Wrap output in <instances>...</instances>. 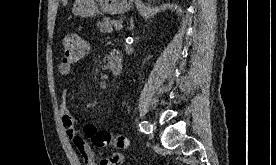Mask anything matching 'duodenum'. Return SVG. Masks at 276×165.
Here are the masks:
<instances>
[{"instance_id": "1", "label": "duodenum", "mask_w": 276, "mask_h": 165, "mask_svg": "<svg viewBox=\"0 0 276 165\" xmlns=\"http://www.w3.org/2000/svg\"><path fill=\"white\" fill-rule=\"evenodd\" d=\"M108 68L111 74L118 75L122 70V61L120 56L110 55L108 59Z\"/></svg>"}]
</instances>
